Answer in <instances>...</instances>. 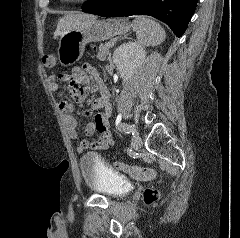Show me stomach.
I'll list each match as a JSON object with an SVG mask.
<instances>
[{"label":"stomach","mask_w":240,"mask_h":238,"mask_svg":"<svg viewBox=\"0 0 240 238\" xmlns=\"http://www.w3.org/2000/svg\"><path fill=\"white\" fill-rule=\"evenodd\" d=\"M131 25L122 18L97 20L84 22L80 27L62 34L57 50L58 60L62 66H70L83 56L87 43L100 42L116 35L127 33Z\"/></svg>","instance_id":"1"}]
</instances>
